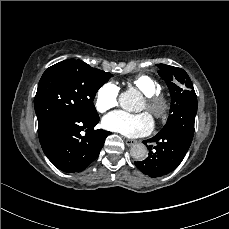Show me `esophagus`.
<instances>
[{"mask_svg": "<svg viewBox=\"0 0 229 229\" xmlns=\"http://www.w3.org/2000/svg\"><path fill=\"white\" fill-rule=\"evenodd\" d=\"M136 140H134V139H126L125 140V144L128 146V147H131V146H133L134 144H136Z\"/></svg>", "mask_w": 229, "mask_h": 229, "instance_id": "1", "label": "esophagus"}]
</instances>
